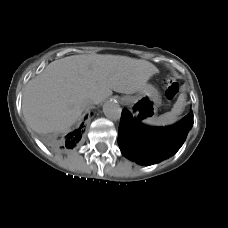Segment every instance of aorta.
<instances>
[{
  "instance_id": "1",
  "label": "aorta",
  "mask_w": 228,
  "mask_h": 228,
  "mask_svg": "<svg viewBox=\"0 0 228 228\" xmlns=\"http://www.w3.org/2000/svg\"><path fill=\"white\" fill-rule=\"evenodd\" d=\"M121 107L116 101H107L103 105L104 115L111 120H118L121 117Z\"/></svg>"
}]
</instances>
